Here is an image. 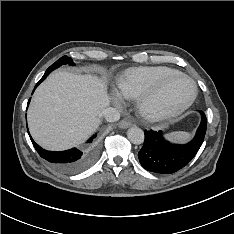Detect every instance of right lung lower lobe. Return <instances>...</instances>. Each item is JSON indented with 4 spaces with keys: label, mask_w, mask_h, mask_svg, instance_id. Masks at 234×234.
<instances>
[{
    "label": "right lung lower lobe",
    "mask_w": 234,
    "mask_h": 234,
    "mask_svg": "<svg viewBox=\"0 0 234 234\" xmlns=\"http://www.w3.org/2000/svg\"><path fill=\"white\" fill-rule=\"evenodd\" d=\"M51 70H46L44 76L41 80L36 84L35 88L49 75ZM34 91V90H33ZM30 101V100H29ZM31 138V137H30ZM96 138V135H93L88 142L92 143V141ZM31 141L39 153V155L45 160L52 163L57 169L65 173H78L83 171L87 167H89L95 159L96 156V143L89 145L84 151H80L77 148H72L66 151H47L42 149L38 144L34 142L31 138Z\"/></svg>",
    "instance_id": "98d812e1"
}]
</instances>
